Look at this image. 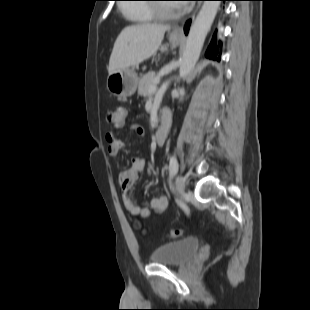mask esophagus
<instances>
[{"label":"esophagus","instance_id":"1","mask_svg":"<svg viewBox=\"0 0 310 310\" xmlns=\"http://www.w3.org/2000/svg\"><path fill=\"white\" fill-rule=\"evenodd\" d=\"M199 7H200V4L197 5V8H196L195 12L193 13V15L191 16V18H194V16H195L197 10L199 9ZM173 34L176 35V36H179V37H184L183 27L182 26H178V27L174 28Z\"/></svg>","mask_w":310,"mask_h":310}]
</instances>
